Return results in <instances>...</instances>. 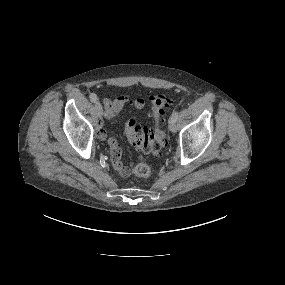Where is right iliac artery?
Here are the masks:
<instances>
[{"instance_id": "82829eb1", "label": "right iliac artery", "mask_w": 285, "mask_h": 285, "mask_svg": "<svg viewBox=\"0 0 285 285\" xmlns=\"http://www.w3.org/2000/svg\"><path fill=\"white\" fill-rule=\"evenodd\" d=\"M90 100H91L92 102H96V101L98 100L96 94L92 93V94L90 95Z\"/></svg>"}]
</instances>
